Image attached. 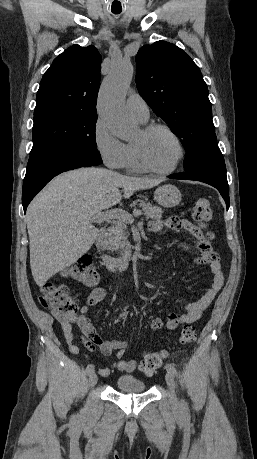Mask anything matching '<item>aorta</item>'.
I'll list each match as a JSON object with an SVG mask.
<instances>
[{
	"label": "aorta",
	"instance_id": "aorta-1",
	"mask_svg": "<svg viewBox=\"0 0 257 459\" xmlns=\"http://www.w3.org/2000/svg\"><path fill=\"white\" fill-rule=\"evenodd\" d=\"M129 62L116 64L103 81L98 100V110L103 123L117 138L130 141L135 138L136 126L124 109V99L133 77Z\"/></svg>",
	"mask_w": 257,
	"mask_h": 459
}]
</instances>
